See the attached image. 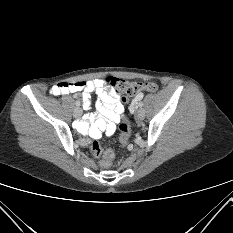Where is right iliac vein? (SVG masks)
Instances as JSON below:
<instances>
[{"mask_svg":"<svg viewBox=\"0 0 233 233\" xmlns=\"http://www.w3.org/2000/svg\"><path fill=\"white\" fill-rule=\"evenodd\" d=\"M73 115H74V117H80L82 115V109L79 107L75 108Z\"/></svg>","mask_w":233,"mask_h":233,"instance_id":"right-iliac-vein-1","label":"right iliac vein"}]
</instances>
